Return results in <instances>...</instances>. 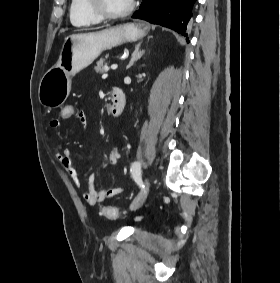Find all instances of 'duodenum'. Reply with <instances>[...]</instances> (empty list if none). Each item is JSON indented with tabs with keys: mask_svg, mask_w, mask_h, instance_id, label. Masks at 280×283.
I'll return each instance as SVG.
<instances>
[{
	"mask_svg": "<svg viewBox=\"0 0 280 283\" xmlns=\"http://www.w3.org/2000/svg\"><path fill=\"white\" fill-rule=\"evenodd\" d=\"M110 114L113 117H119L126 104L125 94L121 89L113 88L110 92Z\"/></svg>",
	"mask_w": 280,
	"mask_h": 283,
	"instance_id": "duodenum-1",
	"label": "duodenum"
}]
</instances>
